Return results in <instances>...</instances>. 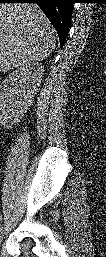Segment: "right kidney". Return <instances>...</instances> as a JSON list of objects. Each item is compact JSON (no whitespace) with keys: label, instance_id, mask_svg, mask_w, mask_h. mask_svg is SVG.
I'll use <instances>...</instances> for the list:
<instances>
[{"label":"right kidney","instance_id":"ca27d5eb","mask_svg":"<svg viewBox=\"0 0 106 257\" xmlns=\"http://www.w3.org/2000/svg\"><path fill=\"white\" fill-rule=\"evenodd\" d=\"M42 73L40 64H24L2 81L0 110L6 122L16 123L26 112L41 83Z\"/></svg>","mask_w":106,"mask_h":257}]
</instances>
